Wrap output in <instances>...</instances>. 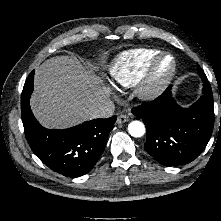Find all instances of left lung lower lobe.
<instances>
[{"label":"left lung lower lobe","mask_w":221,"mask_h":221,"mask_svg":"<svg viewBox=\"0 0 221 221\" xmlns=\"http://www.w3.org/2000/svg\"><path fill=\"white\" fill-rule=\"evenodd\" d=\"M199 75L204 82L203 94L190 108L177 105L169 87L154 101L132 110L146 126L144 149L163 165L193 161L210 140L214 125L212 90L204 72Z\"/></svg>","instance_id":"obj_1"}]
</instances>
